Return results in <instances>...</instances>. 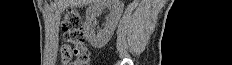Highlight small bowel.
Returning a JSON list of instances; mask_svg holds the SVG:
<instances>
[{"instance_id":"c3829d8e","label":"small bowel","mask_w":232,"mask_h":65,"mask_svg":"<svg viewBox=\"0 0 232 65\" xmlns=\"http://www.w3.org/2000/svg\"><path fill=\"white\" fill-rule=\"evenodd\" d=\"M65 47H63L62 54L65 57L66 55L64 54Z\"/></svg>"}]
</instances>
